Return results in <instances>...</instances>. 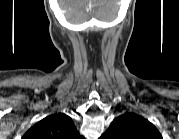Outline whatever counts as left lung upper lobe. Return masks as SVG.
Here are the masks:
<instances>
[{"label":"left lung upper lobe","instance_id":"left-lung-upper-lobe-1","mask_svg":"<svg viewBox=\"0 0 179 139\" xmlns=\"http://www.w3.org/2000/svg\"><path fill=\"white\" fill-rule=\"evenodd\" d=\"M102 139H162L156 127L134 113L123 114L113 120Z\"/></svg>","mask_w":179,"mask_h":139}]
</instances>
